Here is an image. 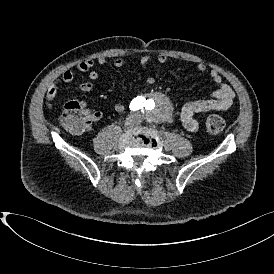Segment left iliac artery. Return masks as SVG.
I'll use <instances>...</instances> for the list:
<instances>
[{"label": "left iliac artery", "instance_id": "1", "mask_svg": "<svg viewBox=\"0 0 274 274\" xmlns=\"http://www.w3.org/2000/svg\"><path fill=\"white\" fill-rule=\"evenodd\" d=\"M148 104H149V102L147 100H145L144 105H145L146 108H147Z\"/></svg>", "mask_w": 274, "mask_h": 274}]
</instances>
